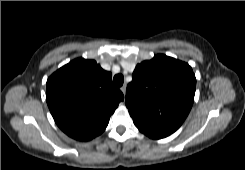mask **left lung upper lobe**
I'll list each match as a JSON object with an SVG mask.
<instances>
[{"label":"left lung upper lobe","instance_id":"5c2ea615","mask_svg":"<svg viewBox=\"0 0 245 170\" xmlns=\"http://www.w3.org/2000/svg\"><path fill=\"white\" fill-rule=\"evenodd\" d=\"M126 90V106L133 121L175 132L194 101L196 78L185 62L163 54L138 64Z\"/></svg>","mask_w":245,"mask_h":170}]
</instances>
